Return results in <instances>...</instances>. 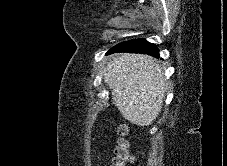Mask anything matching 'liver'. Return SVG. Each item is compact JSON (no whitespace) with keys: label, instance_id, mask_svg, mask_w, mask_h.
<instances>
[{"label":"liver","instance_id":"obj_1","mask_svg":"<svg viewBox=\"0 0 227 166\" xmlns=\"http://www.w3.org/2000/svg\"><path fill=\"white\" fill-rule=\"evenodd\" d=\"M103 77L126 120L148 126L158 117L168 84L155 59L147 55L120 54L107 64Z\"/></svg>","mask_w":227,"mask_h":166}]
</instances>
